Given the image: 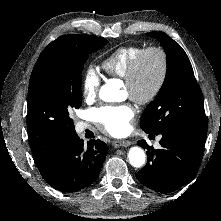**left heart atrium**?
<instances>
[{
	"label": "left heart atrium",
	"instance_id": "left-heart-atrium-1",
	"mask_svg": "<svg viewBox=\"0 0 221 221\" xmlns=\"http://www.w3.org/2000/svg\"><path fill=\"white\" fill-rule=\"evenodd\" d=\"M135 109L129 104L100 106L92 110V117L107 133L120 136L125 134L132 119Z\"/></svg>",
	"mask_w": 221,
	"mask_h": 221
}]
</instances>
